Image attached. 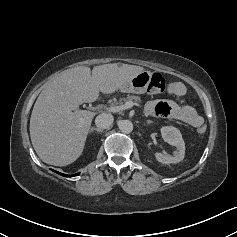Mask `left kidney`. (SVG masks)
<instances>
[{
    "label": "left kidney",
    "mask_w": 237,
    "mask_h": 237,
    "mask_svg": "<svg viewBox=\"0 0 237 237\" xmlns=\"http://www.w3.org/2000/svg\"><path fill=\"white\" fill-rule=\"evenodd\" d=\"M161 135L165 142L175 146L177 151L173 156L155 153L156 160L163 164L178 163L184 159L185 142L182 139L181 132L173 126H164L161 128Z\"/></svg>",
    "instance_id": "obj_1"
}]
</instances>
